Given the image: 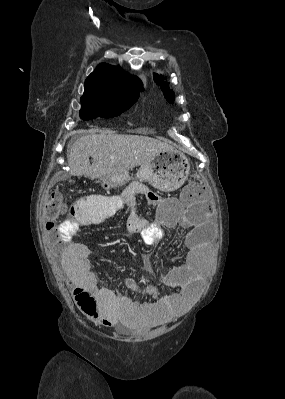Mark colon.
Wrapping results in <instances>:
<instances>
[{
	"instance_id": "obj_1",
	"label": "colon",
	"mask_w": 285,
	"mask_h": 399,
	"mask_svg": "<svg viewBox=\"0 0 285 399\" xmlns=\"http://www.w3.org/2000/svg\"><path fill=\"white\" fill-rule=\"evenodd\" d=\"M204 185L205 183L202 177L196 176L189 181L185 192L189 196H192L199 189L204 187ZM146 197L150 204L156 205L159 202V197L154 193H148ZM65 206L64 193L57 189L51 190L44 202L43 211L45 219L47 220L49 236L53 243L75 240L73 235L59 231V226L56 224V221L63 217ZM90 304L91 306H96V303L93 301H90Z\"/></svg>"
}]
</instances>
